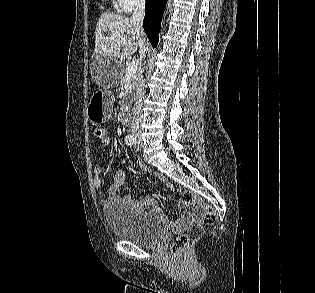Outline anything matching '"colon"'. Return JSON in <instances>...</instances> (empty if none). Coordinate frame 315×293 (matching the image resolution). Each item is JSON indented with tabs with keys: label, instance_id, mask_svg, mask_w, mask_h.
<instances>
[{
	"label": "colon",
	"instance_id": "5ec220e1",
	"mask_svg": "<svg viewBox=\"0 0 315 293\" xmlns=\"http://www.w3.org/2000/svg\"><path fill=\"white\" fill-rule=\"evenodd\" d=\"M95 137L103 139L107 136V131L102 126H96L93 130ZM181 202L185 205H196L199 206V200L192 192H184L181 196ZM216 220L215 209L210 205L202 207V219L199 224L209 225L214 223ZM189 242V237L186 234H180L171 245V254L174 257L179 256L186 248Z\"/></svg>",
	"mask_w": 315,
	"mask_h": 293
}]
</instances>
